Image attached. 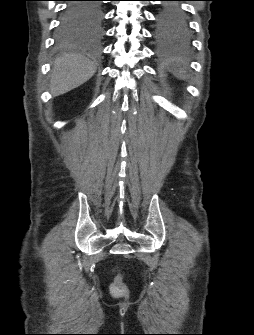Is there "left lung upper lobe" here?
<instances>
[{
    "label": "left lung upper lobe",
    "mask_w": 254,
    "mask_h": 335,
    "mask_svg": "<svg viewBox=\"0 0 254 335\" xmlns=\"http://www.w3.org/2000/svg\"><path fill=\"white\" fill-rule=\"evenodd\" d=\"M158 25V32L161 36H172L184 32L187 29V19L184 10L178 4H166L158 15Z\"/></svg>",
    "instance_id": "left-lung-upper-lobe-1"
}]
</instances>
